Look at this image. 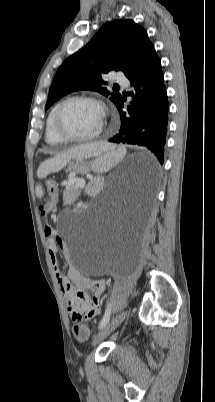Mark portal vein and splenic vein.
I'll return each mask as SVG.
<instances>
[{
	"label": "portal vein and splenic vein",
	"instance_id": "portal-vein-and-splenic-vein-1",
	"mask_svg": "<svg viewBox=\"0 0 215 402\" xmlns=\"http://www.w3.org/2000/svg\"><path fill=\"white\" fill-rule=\"evenodd\" d=\"M77 185H78L79 187L83 188V187L85 186V181H84V180L79 181Z\"/></svg>",
	"mask_w": 215,
	"mask_h": 402
}]
</instances>
